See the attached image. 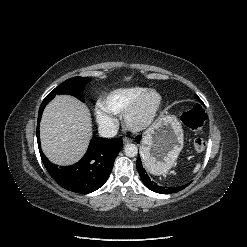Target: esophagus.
I'll return each instance as SVG.
<instances>
[{
    "label": "esophagus",
    "mask_w": 247,
    "mask_h": 247,
    "mask_svg": "<svg viewBox=\"0 0 247 247\" xmlns=\"http://www.w3.org/2000/svg\"><path fill=\"white\" fill-rule=\"evenodd\" d=\"M123 142L126 144V143H130L132 142V139L128 138V137H124L123 138Z\"/></svg>",
    "instance_id": "1"
}]
</instances>
